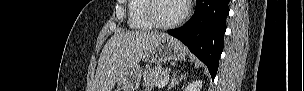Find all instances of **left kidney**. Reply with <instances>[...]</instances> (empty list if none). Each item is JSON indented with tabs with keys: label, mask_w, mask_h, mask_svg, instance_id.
I'll list each match as a JSON object with an SVG mask.
<instances>
[{
	"label": "left kidney",
	"mask_w": 304,
	"mask_h": 91,
	"mask_svg": "<svg viewBox=\"0 0 304 91\" xmlns=\"http://www.w3.org/2000/svg\"><path fill=\"white\" fill-rule=\"evenodd\" d=\"M202 87V81L196 80L188 84L184 91H200Z\"/></svg>",
	"instance_id": "1"
}]
</instances>
